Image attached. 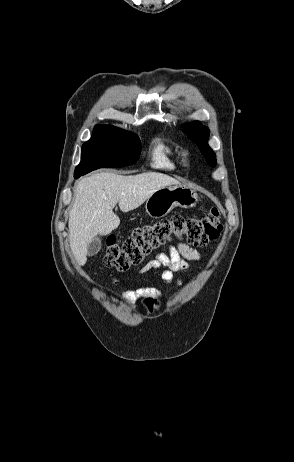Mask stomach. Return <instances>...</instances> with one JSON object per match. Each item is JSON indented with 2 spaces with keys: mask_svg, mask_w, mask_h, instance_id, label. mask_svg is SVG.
Here are the masks:
<instances>
[{
  "mask_svg": "<svg viewBox=\"0 0 294 462\" xmlns=\"http://www.w3.org/2000/svg\"><path fill=\"white\" fill-rule=\"evenodd\" d=\"M198 194L183 185H169L155 191L147 200L145 209L152 218H161L175 207L191 208L196 205Z\"/></svg>",
  "mask_w": 294,
  "mask_h": 462,
  "instance_id": "stomach-1",
  "label": "stomach"
}]
</instances>
